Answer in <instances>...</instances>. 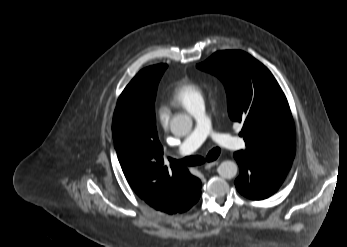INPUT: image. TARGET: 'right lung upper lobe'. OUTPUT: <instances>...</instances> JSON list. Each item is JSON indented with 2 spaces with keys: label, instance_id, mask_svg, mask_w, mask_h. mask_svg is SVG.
I'll use <instances>...</instances> for the list:
<instances>
[{
  "label": "right lung upper lobe",
  "instance_id": "obj_1",
  "mask_svg": "<svg viewBox=\"0 0 347 247\" xmlns=\"http://www.w3.org/2000/svg\"><path fill=\"white\" fill-rule=\"evenodd\" d=\"M143 84L134 77L118 99L113 139L123 173L135 193L151 207L178 213L200 194L201 182L187 168L164 165L154 112L143 100Z\"/></svg>",
  "mask_w": 347,
  "mask_h": 247
}]
</instances>
